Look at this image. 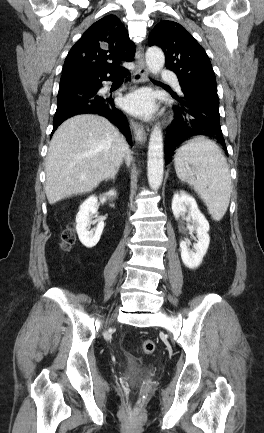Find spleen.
<instances>
[{
	"mask_svg": "<svg viewBox=\"0 0 264 433\" xmlns=\"http://www.w3.org/2000/svg\"><path fill=\"white\" fill-rule=\"evenodd\" d=\"M177 177L193 187L215 221L225 215L232 191L227 160L219 146L206 137L191 139L177 149Z\"/></svg>",
	"mask_w": 264,
	"mask_h": 433,
	"instance_id": "1",
	"label": "spleen"
}]
</instances>
